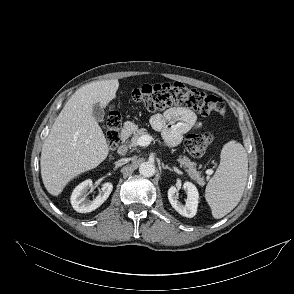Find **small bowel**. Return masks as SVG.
Listing matches in <instances>:
<instances>
[{"mask_svg":"<svg viewBox=\"0 0 294 294\" xmlns=\"http://www.w3.org/2000/svg\"><path fill=\"white\" fill-rule=\"evenodd\" d=\"M150 123L155 130L162 132L170 146H176L185 133L202 126L193 111L181 106L171 107L162 114L153 115Z\"/></svg>","mask_w":294,"mask_h":294,"instance_id":"c3829d8e","label":"small bowel"}]
</instances>
